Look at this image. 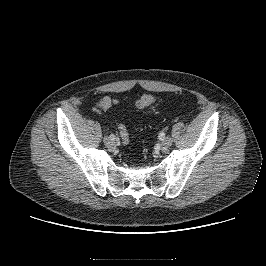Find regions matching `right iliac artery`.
Masks as SVG:
<instances>
[{"instance_id":"82829eb1","label":"right iliac artery","mask_w":266,"mask_h":266,"mask_svg":"<svg viewBox=\"0 0 266 266\" xmlns=\"http://www.w3.org/2000/svg\"><path fill=\"white\" fill-rule=\"evenodd\" d=\"M109 138L112 139V140H114L115 139V136L114 135H110Z\"/></svg>"}]
</instances>
